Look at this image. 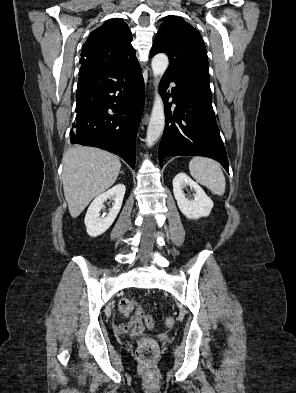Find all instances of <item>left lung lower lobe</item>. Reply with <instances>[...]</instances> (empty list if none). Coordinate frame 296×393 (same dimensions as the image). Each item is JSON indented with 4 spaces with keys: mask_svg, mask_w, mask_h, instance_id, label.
I'll return each instance as SVG.
<instances>
[{
    "mask_svg": "<svg viewBox=\"0 0 296 393\" xmlns=\"http://www.w3.org/2000/svg\"><path fill=\"white\" fill-rule=\"evenodd\" d=\"M170 81L176 87L166 96ZM160 90L166 113L158 153L160 166L167 156H205L218 161L229 173L226 150L212 108L210 84L181 83L164 74ZM170 96L176 104L173 112L172 103H168Z\"/></svg>",
    "mask_w": 296,
    "mask_h": 393,
    "instance_id": "left-lung-lower-lobe-1",
    "label": "left lung lower lobe"
}]
</instances>
